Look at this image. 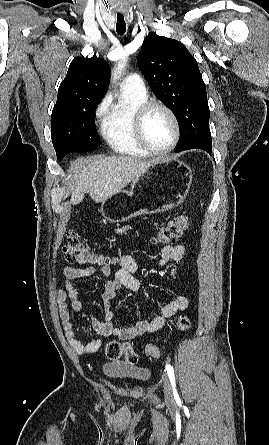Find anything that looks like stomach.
Wrapping results in <instances>:
<instances>
[{"mask_svg": "<svg viewBox=\"0 0 269 445\" xmlns=\"http://www.w3.org/2000/svg\"><path fill=\"white\" fill-rule=\"evenodd\" d=\"M190 174L172 159L156 161L133 180L130 192L122 191L102 202L101 213L108 221L120 223L171 210L186 197Z\"/></svg>", "mask_w": 269, "mask_h": 445, "instance_id": "stomach-1", "label": "stomach"}]
</instances>
